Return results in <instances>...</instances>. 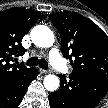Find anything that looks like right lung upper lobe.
Masks as SVG:
<instances>
[{
  "label": "right lung upper lobe",
  "mask_w": 108,
  "mask_h": 108,
  "mask_svg": "<svg viewBox=\"0 0 108 108\" xmlns=\"http://www.w3.org/2000/svg\"><path fill=\"white\" fill-rule=\"evenodd\" d=\"M40 16V12L21 8L0 12V85L15 81L32 69L11 61L25 53L22 38Z\"/></svg>",
  "instance_id": "cb5924a9"
}]
</instances>
